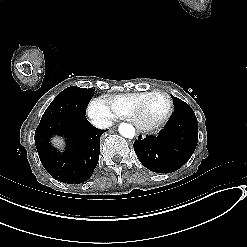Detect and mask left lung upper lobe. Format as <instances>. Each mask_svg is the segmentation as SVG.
Here are the masks:
<instances>
[{"mask_svg":"<svg viewBox=\"0 0 247 247\" xmlns=\"http://www.w3.org/2000/svg\"><path fill=\"white\" fill-rule=\"evenodd\" d=\"M173 101H174V110L175 112H179L182 110H192V108L185 102H183L182 100H180L179 98L173 97L171 96Z\"/></svg>","mask_w":247,"mask_h":247,"instance_id":"5c2ea615","label":"left lung upper lobe"}]
</instances>
